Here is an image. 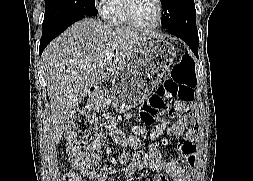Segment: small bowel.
Listing matches in <instances>:
<instances>
[{"instance_id":"c3829d8e","label":"small bowel","mask_w":253,"mask_h":181,"mask_svg":"<svg viewBox=\"0 0 253 181\" xmlns=\"http://www.w3.org/2000/svg\"><path fill=\"white\" fill-rule=\"evenodd\" d=\"M178 106L184 108L181 104H178ZM193 123V116L185 115L171 126L170 131L172 134L180 135L185 131L187 132L185 138L178 145L180 160L156 159L148 163L147 167L150 170L158 172L151 181H170L168 175L173 181H190V176L197 160ZM105 130L116 143L130 147L137 145L141 132L140 127L135 126L134 135L127 137L118 128L115 121L107 122ZM67 154L69 165L72 169V173L69 176L74 177L77 181H109L115 174V171L109 165L96 168L98 156L94 152H86L79 148H68ZM140 168L141 166L135 162L129 163L125 167L126 177L132 178Z\"/></svg>"}]
</instances>
